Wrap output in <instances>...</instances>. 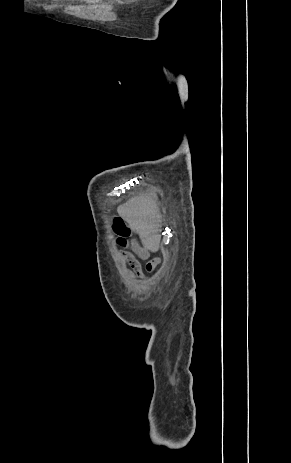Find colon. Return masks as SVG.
I'll return each mask as SVG.
<instances>
[{
	"instance_id": "5ec220e1",
	"label": "colon",
	"mask_w": 291,
	"mask_h": 463,
	"mask_svg": "<svg viewBox=\"0 0 291 463\" xmlns=\"http://www.w3.org/2000/svg\"><path fill=\"white\" fill-rule=\"evenodd\" d=\"M113 231L117 237L128 235L130 233L129 228L120 217H115L113 219Z\"/></svg>"
}]
</instances>
